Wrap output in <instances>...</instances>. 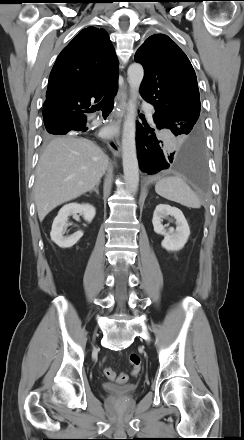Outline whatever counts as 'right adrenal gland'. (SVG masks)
Wrapping results in <instances>:
<instances>
[{"instance_id": "1", "label": "right adrenal gland", "mask_w": 244, "mask_h": 440, "mask_svg": "<svg viewBox=\"0 0 244 440\" xmlns=\"http://www.w3.org/2000/svg\"><path fill=\"white\" fill-rule=\"evenodd\" d=\"M93 191L96 192L97 195H99V183L96 184V186L90 191V194H91Z\"/></svg>"}]
</instances>
